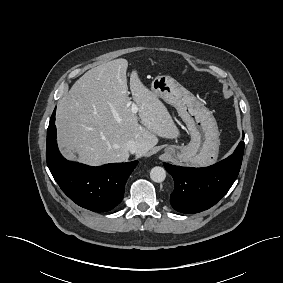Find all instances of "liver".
Wrapping results in <instances>:
<instances>
[{"mask_svg": "<svg viewBox=\"0 0 283 283\" xmlns=\"http://www.w3.org/2000/svg\"><path fill=\"white\" fill-rule=\"evenodd\" d=\"M127 68L128 61L122 58L92 68L60 99L56 127L67 159L91 166L125 162L130 156L128 141L139 144L137 156H143L158 143V136L179 137L167 108L143 85L136 70L130 76V90L140 111L138 116L132 113Z\"/></svg>", "mask_w": 283, "mask_h": 283, "instance_id": "1", "label": "liver"}]
</instances>
